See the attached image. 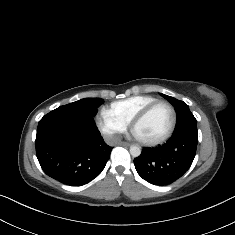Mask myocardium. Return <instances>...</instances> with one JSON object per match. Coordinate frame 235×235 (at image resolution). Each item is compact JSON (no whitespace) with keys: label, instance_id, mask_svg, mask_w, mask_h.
I'll return each instance as SVG.
<instances>
[{"label":"myocardium","instance_id":"myocardium-1","mask_svg":"<svg viewBox=\"0 0 235 235\" xmlns=\"http://www.w3.org/2000/svg\"><path fill=\"white\" fill-rule=\"evenodd\" d=\"M162 105L167 106L171 112V124H170L169 130L167 131V133L160 138L150 140V141H144V140L138 139L134 134L135 127L140 122L145 120L152 113L153 110H155L157 107L162 106ZM176 123H177V113H176V109L174 108V106L171 103H169L168 101L158 100V101L151 103L147 107H145L141 112H139L133 118V120L130 123V129H131V132H132L135 140L138 143H140L141 145H144V146L153 147V146L162 144L171 138V136L173 135V133L175 131Z\"/></svg>","mask_w":235,"mask_h":235}]
</instances>
